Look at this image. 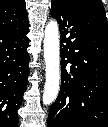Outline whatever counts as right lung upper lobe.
<instances>
[{
  "label": "right lung upper lobe",
  "instance_id": "cb5924a9",
  "mask_svg": "<svg viewBox=\"0 0 108 127\" xmlns=\"http://www.w3.org/2000/svg\"><path fill=\"white\" fill-rule=\"evenodd\" d=\"M26 23L25 0H0V31L15 29Z\"/></svg>",
  "mask_w": 108,
  "mask_h": 127
}]
</instances>
